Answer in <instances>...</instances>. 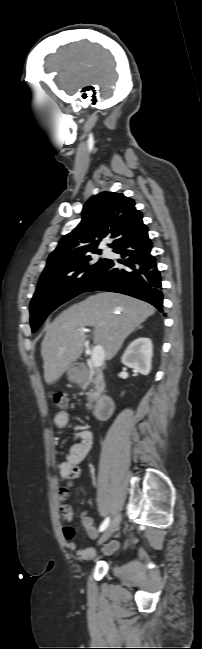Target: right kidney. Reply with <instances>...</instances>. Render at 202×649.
<instances>
[{"instance_id": "ca27d5eb", "label": "right kidney", "mask_w": 202, "mask_h": 649, "mask_svg": "<svg viewBox=\"0 0 202 649\" xmlns=\"http://www.w3.org/2000/svg\"><path fill=\"white\" fill-rule=\"evenodd\" d=\"M152 342L149 338L139 337L133 340L122 356V363L142 375L151 370Z\"/></svg>"}]
</instances>
